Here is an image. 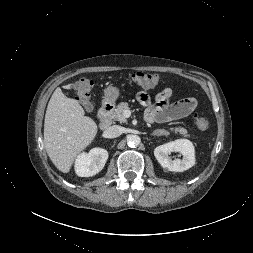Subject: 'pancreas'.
I'll use <instances>...</instances> for the list:
<instances>
[{
    "label": "pancreas",
    "mask_w": 253,
    "mask_h": 253,
    "mask_svg": "<svg viewBox=\"0 0 253 253\" xmlns=\"http://www.w3.org/2000/svg\"><path fill=\"white\" fill-rule=\"evenodd\" d=\"M126 110H129V106L127 102H121L117 105V108L114 110L113 114H112V118L116 121H119L120 123H126L127 119L124 116V112ZM172 131H174L175 133H180L182 136L184 137H190V135L188 134L187 130L183 127H176V128H171ZM165 131V130H164ZM165 133L168 134L167 131H165Z\"/></svg>",
    "instance_id": "1"
}]
</instances>
